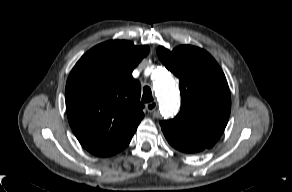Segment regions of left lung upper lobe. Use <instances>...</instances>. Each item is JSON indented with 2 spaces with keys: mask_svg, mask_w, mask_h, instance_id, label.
I'll use <instances>...</instances> for the list:
<instances>
[{
  "mask_svg": "<svg viewBox=\"0 0 292 192\" xmlns=\"http://www.w3.org/2000/svg\"><path fill=\"white\" fill-rule=\"evenodd\" d=\"M157 55L180 79L181 110L171 120L161 121L165 136L211 148L222 135L231 110L225 75L205 50L182 45L173 51L160 46Z\"/></svg>",
  "mask_w": 292,
  "mask_h": 192,
  "instance_id": "left-lung-upper-lobe-1",
  "label": "left lung upper lobe"
}]
</instances>
